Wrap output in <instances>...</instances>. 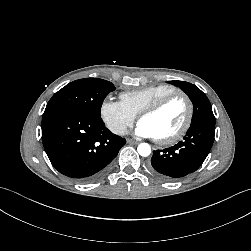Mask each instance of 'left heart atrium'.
I'll return each instance as SVG.
<instances>
[{"label": "left heart atrium", "mask_w": 251, "mask_h": 251, "mask_svg": "<svg viewBox=\"0 0 251 251\" xmlns=\"http://www.w3.org/2000/svg\"><path fill=\"white\" fill-rule=\"evenodd\" d=\"M135 134L142 138H156L153 131L142 122L138 123Z\"/></svg>", "instance_id": "1"}]
</instances>
